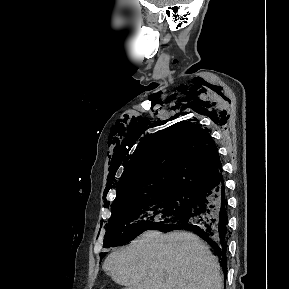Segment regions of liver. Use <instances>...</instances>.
I'll list each match as a JSON object with an SVG mask.
<instances>
[{
	"label": "liver",
	"instance_id": "6515ba94",
	"mask_svg": "<svg viewBox=\"0 0 289 289\" xmlns=\"http://www.w3.org/2000/svg\"><path fill=\"white\" fill-rule=\"evenodd\" d=\"M102 268L124 289H223L216 257L190 232L146 231Z\"/></svg>",
	"mask_w": 289,
	"mask_h": 289
}]
</instances>
